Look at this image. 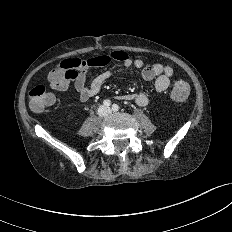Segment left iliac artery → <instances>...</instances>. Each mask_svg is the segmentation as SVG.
Here are the masks:
<instances>
[{"label": "left iliac artery", "mask_w": 232, "mask_h": 232, "mask_svg": "<svg viewBox=\"0 0 232 232\" xmlns=\"http://www.w3.org/2000/svg\"><path fill=\"white\" fill-rule=\"evenodd\" d=\"M112 109H113V111L117 112V111H119V106L117 104H114L112 106Z\"/></svg>", "instance_id": "left-iliac-artery-1"}]
</instances>
